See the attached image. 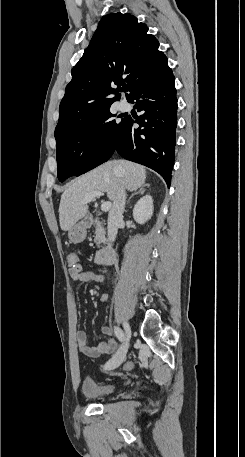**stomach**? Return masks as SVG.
Listing matches in <instances>:
<instances>
[{"label": "stomach", "instance_id": "0dacf381", "mask_svg": "<svg viewBox=\"0 0 245 457\" xmlns=\"http://www.w3.org/2000/svg\"><path fill=\"white\" fill-rule=\"evenodd\" d=\"M86 229H89V226L88 222H85V220H80V222L71 226L70 231H68L70 241H72V243H82L87 235Z\"/></svg>", "mask_w": 245, "mask_h": 457}]
</instances>
